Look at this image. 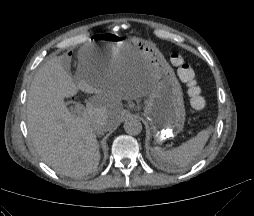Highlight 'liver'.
<instances>
[{
	"label": "liver",
	"mask_w": 254,
	"mask_h": 216,
	"mask_svg": "<svg viewBox=\"0 0 254 216\" xmlns=\"http://www.w3.org/2000/svg\"><path fill=\"white\" fill-rule=\"evenodd\" d=\"M90 51V44L80 49L75 78L67 70L69 57L49 59L37 71L27 100V127L37 153L55 171L70 177L87 175L99 165V144L92 125L104 119L107 128L116 126L123 112L121 101L147 97L152 83L146 63L93 73L89 78ZM78 89L95 96L75 117L64 99Z\"/></svg>",
	"instance_id": "obj_1"
}]
</instances>
